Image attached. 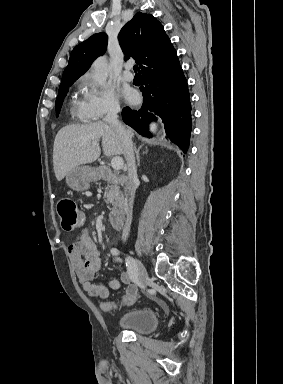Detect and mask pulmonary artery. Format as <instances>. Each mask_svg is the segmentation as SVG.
<instances>
[{
	"label": "pulmonary artery",
	"mask_w": 283,
	"mask_h": 384,
	"mask_svg": "<svg viewBox=\"0 0 283 384\" xmlns=\"http://www.w3.org/2000/svg\"><path fill=\"white\" fill-rule=\"evenodd\" d=\"M132 67L133 64L131 62H127L124 64V69L122 71V76L126 81H133L134 79V74L132 73Z\"/></svg>",
	"instance_id": "1"
}]
</instances>
